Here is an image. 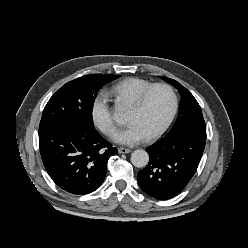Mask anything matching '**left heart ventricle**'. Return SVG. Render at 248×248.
Listing matches in <instances>:
<instances>
[{"label": "left heart ventricle", "instance_id": "left-heart-ventricle-1", "mask_svg": "<svg viewBox=\"0 0 248 248\" xmlns=\"http://www.w3.org/2000/svg\"><path fill=\"white\" fill-rule=\"evenodd\" d=\"M171 108L170 93L164 88H157L149 95L141 109L136 110L130 107L127 122L138 124L148 137L163 126L169 117Z\"/></svg>", "mask_w": 248, "mask_h": 248}]
</instances>
